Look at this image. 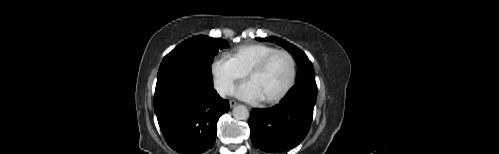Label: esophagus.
I'll return each mask as SVG.
<instances>
[{
	"instance_id": "1",
	"label": "esophagus",
	"mask_w": 499,
	"mask_h": 154,
	"mask_svg": "<svg viewBox=\"0 0 499 154\" xmlns=\"http://www.w3.org/2000/svg\"><path fill=\"white\" fill-rule=\"evenodd\" d=\"M229 104H230V107H231V108H233V107H235L238 103H237L235 100H231V101L229 102Z\"/></svg>"
}]
</instances>
